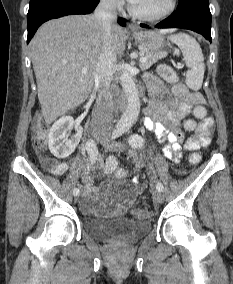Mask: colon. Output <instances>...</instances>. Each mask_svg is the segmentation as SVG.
Wrapping results in <instances>:
<instances>
[{"instance_id": "1", "label": "colon", "mask_w": 233, "mask_h": 284, "mask_svg": "<svg viewBox=\"0 0 233 284\" xmlns=\"http://www.w3.org/2000/svg\"><path fill=\"white\" fill-rule=\"evenodd\" d=\"M160 76L169 83H176L178 81V75L176 71L169 65L162 64L158 68ZM194 115L196 118L201 119L206 116V109L203 106H197L194 108ZM196 121L189 119L185 122V129L187 131H193L196 128ZM47 132L48 124L43 120H39L35 126V138L34 144L38 150H44L47 144ZM191 163L195 164L201 160L199 153H192L189 157ZM104 171L109 175H114L116 178L122 179L126 176V170L120 167L115 157H109L104 165ZM136 215L143 217L149 215V210L138 209Z\"/></svg>"}]
</instances>
